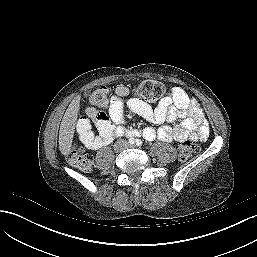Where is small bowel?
Instances as JSON below:
<instances>
[{
  "instance_id": "obj_1",
  "label": "small bowel",
  "mask_w": 257,
  "mask_h": 257,
  "mask_svg": "<svg viewBox=\"0 0 257 257\" xmlns=\"http://www.w3.org/2000/svg\"><path fill=\"white\" fill-rule=\"evenodd\" d=\"M130 93L125 86L115 89L109 107L108 115L97 114L95 118L83 117L77 122V133L80 140L91 149H99L108 145L116 131L122 129L124 123V107L153 124L172 123L158 129L146 127L142 135L147 140L158 138L161 141L186 140L202 141L209 135V126L198 103L187 93L175 87L167 93L155 108L144 101L132 97L124 103L123 98ZM91 119L94 121L98 133L91 130Z\"/></svg>"
}]
</instances>
